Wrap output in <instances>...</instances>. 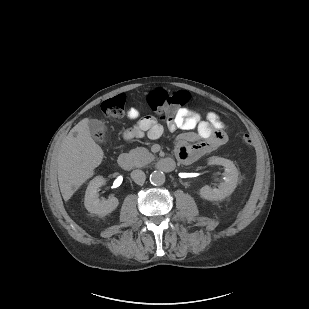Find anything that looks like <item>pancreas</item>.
Here are the masks:
<instances>
[{"label": "pancreas", "instance_id": "cf45deb5", "mask_svg": "<svg viewBox=\"0 0 309 309\" xmlns=\"http://www.w3.org/2000/svg\"><path fill=\"white\" fill-rule=\"evenodd\" d=\"M129 156L131 157L134 166L137 168L143 167L155 159V156L144 147H137L130 150Z\"/></svg>", "mask_w": 309, "mask_h": 309}]
</instances>
